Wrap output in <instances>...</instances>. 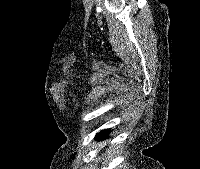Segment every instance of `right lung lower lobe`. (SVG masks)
Returning a JSON list of instances; mask_svg holds the SVG:
<instances>
[{
    "label": "right lung lower lobe",
    "mask_w": 200,
    "mask_h": 169,
    "mask_svg": "<svg viewBox=\"0 0 200 169\" xmlns=\"http://www.w3.org/2000/svg\"><path fill=\"white\" fill-rule=\"evenodd\" d=\"M109 133H110V129L101 130L99 133L96 134L95 138L101 139V138L107 136Z\"/></svg>",
    "instance_id": "1"
}]
</instances>
